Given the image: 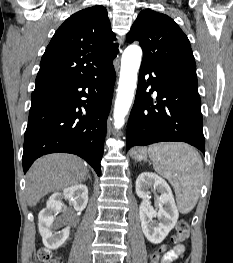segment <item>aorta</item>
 Listing matches in <instances>:
<instances>
[{
  "label": "aorta",
  "instance_id": "1",
  "mask_svg": "<svg viewBox=\"0 0 233 263\" xmlns=\"http://www.w3.org/2000/svg\"><path fill=\"white\" fill-rule=\"evenodd\" d=\"M141 57L142 50L137 45L128 46L122 55L119 86L113 115L114 126L117 129L124 125V119L130 109Z\"/></svg>",
  "mask_w": 233,
  "mask_h": 263
}]
</instances>
